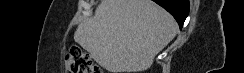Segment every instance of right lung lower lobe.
<instances>
[{"label":"right lung lower lobe","instance_id":"98d812e1","mask_svg":"<svg viewBox=\"0 0 244 73\" xmlns=\"http://www.w3.org/2000/svg\"><path fill=\"white\" fill-rule=\"evenodd\" d=\"M168 12H170L176 21L178 22L180 28H182L183 23L189 13V0H153Z\"/></svg>","mask_w":244,"mask_h":73}]
</instances>
